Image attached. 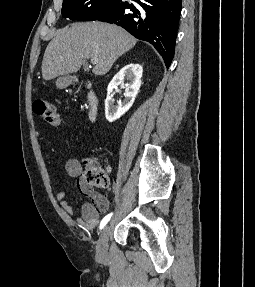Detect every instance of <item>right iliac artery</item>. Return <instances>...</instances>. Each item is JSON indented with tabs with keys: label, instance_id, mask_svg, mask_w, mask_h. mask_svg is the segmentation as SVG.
<instances>
[{
	"label": "right iliac artery",
	"instance_id": "right-iliac-artery-1",
	"mask_svg": "<svg viewBox=\"0 0 255 287\" xmlns=\"http://www.w3.org/2000/svg\"><path fill=\"white\" fill-rule=\"evenodd\" d=\"M111 216H112V213L108 214L107 216H105L103 218V220L100 223V229H102L107 224V222L110 220Z\"/></svg>",
	"mask_w": 255,
	"mask_h": 287
}]
</instances>
